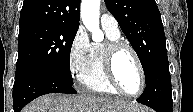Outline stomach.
Returning <instances> with one entry per match:
<instances>
[{
  "mask_svg": "<svg viewBox=\"0 0 193 112\" xmlns=\"http://www.w3.org/2000/svg\"><path fill=\"white\" fill-rule=\"evenodd\" d=\"M129 112H133V111H129ZM134 112H144V110H142V109H139V110H137V111H134Z\"/></svg>",
  "mask_w": 193,
  "mask_h": 112,
  "instance_id": "0dacf381",
  "label": "stomach"
}]
</instances>
